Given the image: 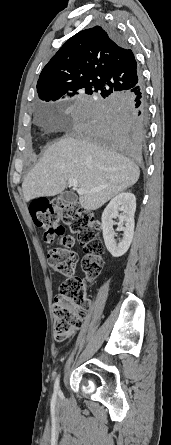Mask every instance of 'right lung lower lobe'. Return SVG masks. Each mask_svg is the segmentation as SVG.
<instances>
[{"label": "right lung lower lobe", "mask_w": 171, "mask_h": 445, "mask_svg": "<svg viewBox=\"0 0 171 445\" xmlns=\"http://www.w3.org/2000/svg\"><path fill=\"white\" fill-rule=\"evenodd\" d=\"M107 29L118 43H125L115 27L108 26ZM87 117L90 123L87 134L91 138L129 159H141L148 117L141 83L128 93L106 94L95 100L89 105Z\"/></svg>", "instance_id": "1"}]
</instances>
